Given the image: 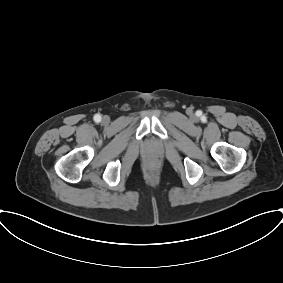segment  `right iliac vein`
<instances>
[{"label": "right iliac vein", "mask_w": 283, "mask_h": 283, "mask_svg": "<svg viewBox=\"0 0 283 283\" xmlns=\"http://www.w3.org/2000/svg\"><path fill=\"white\" fill-rule=\"evenodd\" d=\"M109 121H110V119H109L108 116H103V118H102V123H103V124H108Z\"/></svg>", "instance_id": "obj_1"}]
</instances>
